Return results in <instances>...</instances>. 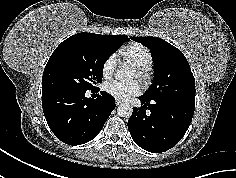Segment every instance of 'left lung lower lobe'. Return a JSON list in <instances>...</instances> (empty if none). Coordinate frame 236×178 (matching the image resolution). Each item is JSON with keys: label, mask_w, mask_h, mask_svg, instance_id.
Returning a JSON list of instances; mask_svg holds the SVG:
<instances>
[{"label": "left lung lower lobe", "mask_w": 236, "mask_h": 178, "mask_svg": "<svg viewBox=\"0 0 236 178\" xmlns=\"http://www.w3.org/2000/svg\"><path fill=\"white\" fill-rule=\"evenodd\" d=\"M141 108H133L128 129L134 142L142 149L160 153L175 146L186 133L195 105L147 100L139 97ZM149 109L150 113L146 112Z\"/></svg>", "instance_id": "obj_1"}]
</instances>
